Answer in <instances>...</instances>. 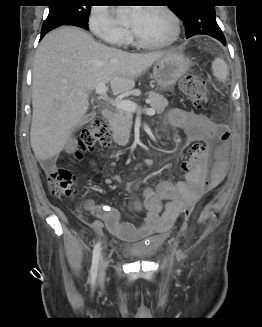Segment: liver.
<instances>
[{
	"instance_id": "6515ba94",
	"label": "liver",
	"mask_w": 262,
	"mask_h": 327,
	"mask_svg": "<svg viewBox=\"0 0 262 327\" xmlns=\"http://www.w3.org/2000/svg\"><path fill=\"white\" fill-rule=\"evenodd\" d=\"M165 54L108 47L77 27L46 35L33 65L30 143L35 157L47 161L62 151L98 84H109L113 95L129 93L134 79Z\"/></svg>"
}]
</instances>
